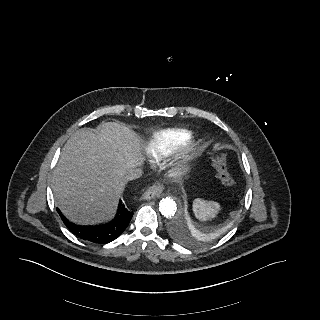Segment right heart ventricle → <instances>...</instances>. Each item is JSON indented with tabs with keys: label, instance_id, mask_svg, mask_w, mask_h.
Here are the masks:
<instances>
[{
	"label": "right heart ventricle",
	"instance_id": "obj_1",
	"mask_svg": "<svg viewBox=\"0 0 320 320\" xmlns=\"http://www.w3.org/2000/svg\"><path fill=\"white\" fill-rule=\"evenodd\" d=\"M191 133L182 129L165 130L155 134L146 145V152L155 159L167 157L182 149Z\"/></svg>",
	"mask_w": 320,
	"mask_h": 320
}]
</instances>
